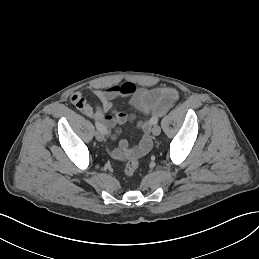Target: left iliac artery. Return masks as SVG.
I'll list each match as a JSON object with an SVG mask.
<instances>
[{"instance_id": "left-iliac-artery-1", "label": "left iliac artery", "mask_w": 259, "mask_h": 259, "mask_svg": "<svg viewBox=\"0 0 259 259\" xmlns=\"http://www.w3.org/2000/svg\"><path fill=\"white\" fill-rule=\"evenodd\" d=\"M158 122V118H156L155 120H154V123L156 124Z\"/></svg>"}]
</instances>
